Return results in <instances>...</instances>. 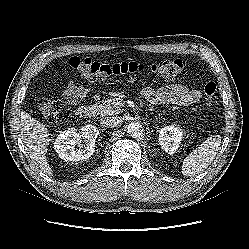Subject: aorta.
Here are the masks:
<instances>
[{
  "label": "aorta",
  "mask_w": 249,
  "mask_h": 249,
  "mask_svg": "<svg viewBox=\"0 0 249 249\" xmlns=\"http://www.w3.org/2000/svg\"><path fill=\"white\" fill-rule=\"evenodd\" d=\"M143 126L139 122H132L128 125L127 133L133 138H140L143 136Z\"/></svg>",
  "instance_id": "aorta-1"
}]
</instances>
